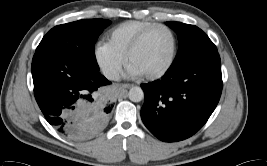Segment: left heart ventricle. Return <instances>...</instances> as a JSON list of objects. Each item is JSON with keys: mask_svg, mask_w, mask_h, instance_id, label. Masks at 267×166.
<instances>
[{"mask_svg": "<svg viewBox=\"0 0 267 166\" xmlns=\"http://www.w3.org/2000/svg\"><path fill=\"white\" fill-rule=\"evenodd\" d=\"M171 37L165 30L150 34L137 49L132 64L143 73H153L161 69L171 53Z\"/></svg>", "mask_w": 267, "mask_h": 166, "instance_id": "left-heart-ventricle-1", "label": "left heart ventricle"}]
</instances>
